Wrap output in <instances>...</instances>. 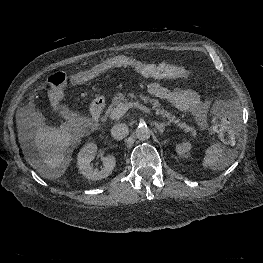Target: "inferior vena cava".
<instances>
[{
    "label": "inferior vena cava",
    "instance_id": "602c4592",
    "mask_svg": "<svg viewBox=\"0 0 263 263\" xmlns=\"http://www.w3.org/2000/svg\"><path fill=\"white\" fill-rule=\"evenodd\" d=\"M128 134V127L125 124H116L111 129V135L116 140H121Z\"/></svg>",
    "mask_w": 263,
    "mask_h": 263
}]
</instances>
